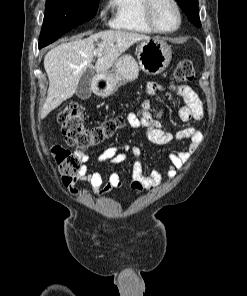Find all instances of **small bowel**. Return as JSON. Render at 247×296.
<instances>
[{"label":"small bowel","instance_id":"1","mask_svg":"<svg viewBox=\"0 0 247 296\" xmlns=\"http://www.w3.org/2000/svg\"><path fill=\"white\" fill-rule=\"evenodd\" d=\"M165 87L156 82L147 84V95L152 96L157 91L164 90ZM176 93L182 99L183 104L178 108L177 115L184 123L201 120L204 116V109L197 93L187 85H178ZM142 107L145 110L141 117H137L133 113L128 114V122L132 128L144 129L148 140L154 144H184V148H178L176 151L169 153L168 163L165 165V171L152 169L149 174L144 173L143 164L139 159L141 149L137 146L125 145L123 147H111L106 149L100 156L101 162H110L119 165L126 159L127 152L131 153L135 158L132 166V179L130 187L137 192L152 191L156 188L163 176L171 181L178 175L179 170L183 168L189 160L192 153L197 149L203 140L202 133L192 126H186L175 133L166 131L161 124L162 109L158 108L153 114H149L146 110L149 108V101L144 100ZM76 156L80 161V168L75 180L88 182L95 192L102 196L108 194L113 189L122 186L121 179L116 171L109 174L105 179L98 170H90L88 163L90 156L83 152L76 151ZM73 195H78V190L74 187L69 188Z\"/></svg>","mask_w":247,"mask_h":296}]
</instances>
